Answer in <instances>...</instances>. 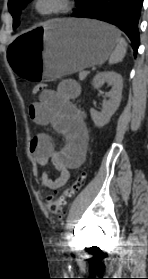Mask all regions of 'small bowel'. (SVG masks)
<instances>
[{"mask_svg": "<svg viewBox=\"0 0 148 279\" xmlns=\"http://www.w3.org/2000/svg\"><path fill=\"white\" fill-rule=\"evenodd\" d=\"M80 86L74 80L62 81L56 90H46L37 102L29 106L28 113L37 125H50L64 137L65 143L56 150L53 140L46 133L37 134L30 150L38 167L51 163L59 176L51 178L49 171L39 173V181L47 190L63 187L70 177V169L78 168L85 160L88 131L84 115L73 104L80 95Z\"/></svg>", "mask_w": 148, "mask_h": 279, "instance_id": "1", "label": "small bowel"}]
</instances>
